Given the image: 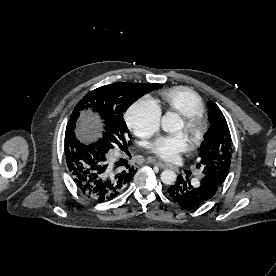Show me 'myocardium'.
<instances>
[{
	"label": "myocardium",
	"instance_id": "1",
	"mask_svg": "<svg viewBox=\"0 0 276 276\" xmlns=\"http://www.w3.org/2000/svg\"><path fill=\"white\" fill-rule=\"evenodd\" d=\"M187 134L192 147H197L206 133V121L201 113H193L182 116Z\"/></svg>",
	"mask_w": 276,
	"mask_h": 276
}]
</instances>
